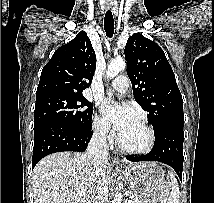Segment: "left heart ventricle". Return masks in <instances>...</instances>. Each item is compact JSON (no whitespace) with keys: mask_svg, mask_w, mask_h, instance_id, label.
Returning a JSON list of instances; mask_svg holds the SVG:
<instances>
[{"mask_svg":"<svg viewBox=\"0 0 214 203\" xmlns=\"http://www.w3.org/2000/svg\"><path fill=\"white\" fill-rule=\"evenodd\" d=\"M121 141L125 146L138 148L147 142V132L139 121L133 123L129 128L120 134Z\"/></svg>","mask_w":214,"mask_h":203,"instance_id":"left-heart-ventricle-1","label":"left heart ventricle"}]
</instances>
